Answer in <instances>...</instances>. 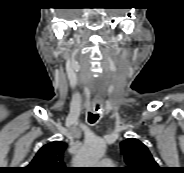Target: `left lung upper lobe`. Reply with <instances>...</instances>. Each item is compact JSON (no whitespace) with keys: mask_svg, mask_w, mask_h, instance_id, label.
Instances as JSON below:
<instances>
[{"mask_svg":"<svg viewBox=\"0 0 184 173\" xmlns=\"http://www.w3.org/2000/svg\"><path fill=\"white\" fill-rule=\"evenodd\" d=\"M121 151L127 164L123 173H160V167L148 148L139 140L129 138L122 141Z\"/></svg>","mask_w":184,"mask_h":173,"instance_id":"5c2ea615","label":"left lung upper lobe"}]
</instances>
